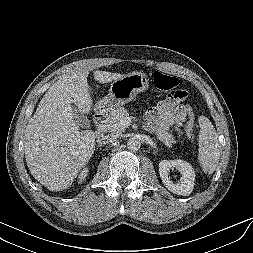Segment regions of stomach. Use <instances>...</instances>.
Here are the masks:
<instances>
[{"label": "stomach", "instance_id": "1", "mask_svg": "<svg viewBox=\"0 0 253 253\" xmlns=\"http://www.w3.org/2000/svg\"><path fill=\"white\" fill-rule=\"evenodd\" d=\"M148 86V79L142 72L134 71L124 75L111 84L108 96L97 103L96 108L101 113H111L132 101L137 94L145 91Z\"/></svg>", "mask_w": 253, "mask_h": 253}]
</instances>
